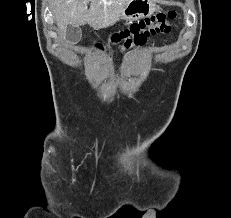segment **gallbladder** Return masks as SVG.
<instances>
[{
    "label": "gallbladder",
    "instance_id": "gallbladder-1",
    "mask_svg": "<svg viewBox=\"0 0 231 218\" xmlns=\"http://www.w3.org/2000/svg\"><path fill=\"white\" fill-rule=\"evenodd\" d=\"M82 37V31L79 27L68 25L66 29V39L70 43H77Z\"/></svg>",
    "mask_w": 231,
    "mask_h": 218
}]
</instances>
